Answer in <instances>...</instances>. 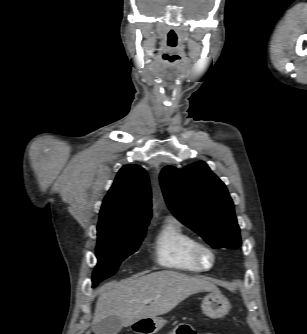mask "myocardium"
Returning a JSON list of instances; mask_svg holds the SVG:
<instances>
[{"mask_svg": "<svg viewBox=\"0 0 307 334\" xmlns=\"http://www.w3.org/2000/svg\"><path fill=\"white\" fill-rule=\"evenodd\" d=\"M210 257V263H206L204 255ZM192 256L195 262L204 270L212 269L217 260L215 250L207 243L197 241L192 247Z\"/></svg>", "mask_w": 307, "mask_h": 334, "instance_id": "1", "label": "myocardium"}]
</instances>
